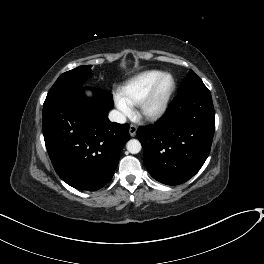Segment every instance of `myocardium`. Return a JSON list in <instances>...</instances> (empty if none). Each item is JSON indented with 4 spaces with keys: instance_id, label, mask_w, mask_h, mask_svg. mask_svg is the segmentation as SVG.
<instances>
[{
    "instance_id": "1",
    "label": "myocardium",
    "mask_w": 264,
    "mask_h": 264,
    "mask_svg": "<svg viewBox=\"0 0 264 264\" xmlns=\"http://www.w3.org/2000/svg\"><path fill=\"white\" fill-rule=\"evenodd\" d=\"M164 80L169 81V87L163 97L154 106H151L157 95L158 89ZM175 88L176 82L174 77L169 73H162L136 104V116L146 121H155L159 119L166 112Z\"/></svg>"
}]
</instances>
